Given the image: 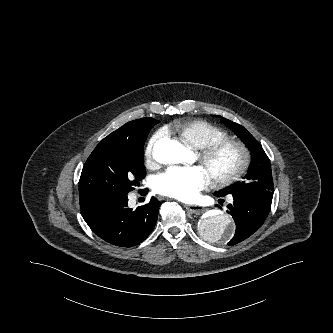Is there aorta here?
<instances>
[{"label": "aorta", "mask_w": 333, "mask_h": 333, "mask_svg": "<svg viewBox=\"0 0 333 333\" xmlns=\"http://www.w3.org/2000/svg\"><path fill=\"white\" fill-rule=\"evenodd\" d=\"M188 150L179 142L164 138L154 146V158L162 164H176L183 162L187 157ZM201 235L212 241L226 242L234 234V224L231 217L219 210H212L200 222Z\"/></svg>", "instance_id": "762f6f07"}]
</instances>
